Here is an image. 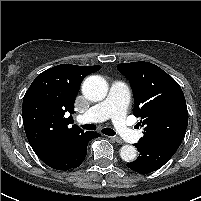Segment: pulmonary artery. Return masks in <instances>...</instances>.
<instances>
[{
	"mask_svg": "<svg viewBox=\"0 0 201 201\" xmlns=\"http://www.w3.org/2000/svg\"><path fill=\"white\" fill-rule=\"evenodd\" d=\"M130 100V91L121 81H114L105 100L77 117L79 122L91 123L111 119L118 134L128 142H137L141 134L126 122V109Z\"/></svg>",
	"mask_w": 201,
	"mask_h": 201,
	"instance_id": "pulmonary-artery-1",
	"label": "pulmonary artery"
}]
</instances>
